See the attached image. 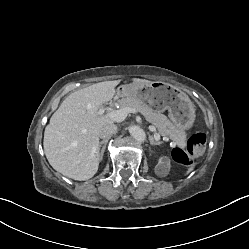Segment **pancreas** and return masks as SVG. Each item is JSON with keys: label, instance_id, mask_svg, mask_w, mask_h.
<instances>
[{"label": "pancreas", "instance_id": "1", "mask_svg": "<svg viewBox=\"0 0 249 249\" xmlns=\"http://www.w3.org/2000/svg\"><path fill=\"white\" fill-rule=\"evenodd\" d=\"M119 105L121 107L134 108L145 116L147 121L152 123L162 136L171 139L173 144L180 148L185 147L186 133L183 129L174 125L164 114L154 111L147 105L132 97L119 100Z\"/></svg>", "mask_w": 249, "mask_h": 249}]
</instances>
